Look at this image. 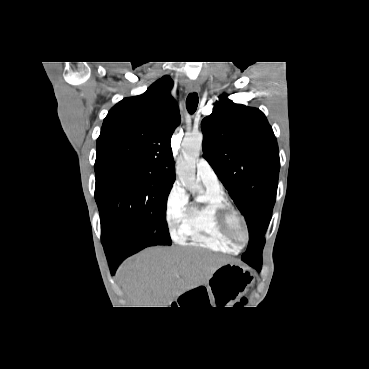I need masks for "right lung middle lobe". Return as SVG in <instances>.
Returning a JSON list of instances; mask_svg holds the SVG:
<instances>
[{
    "mask_svg": "<svg viewBox=\"0 0 369 369\" xmlns=\"http://www.w3.org/2000/svg\"><path fill=\"white\" fill-rule=\"evenodd\" d=\"M103 246L132 240L143 248L171 245L166 222L172 182L135 170L95 168Z\"/></svg>",
    "mask_w": 369,
    "mask_h": 369,
    "instance_id": "right-lung-middle-lobe-1",
    "label": "right lung middle lobe"
}]
</instances>
